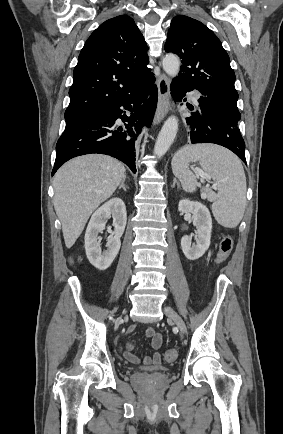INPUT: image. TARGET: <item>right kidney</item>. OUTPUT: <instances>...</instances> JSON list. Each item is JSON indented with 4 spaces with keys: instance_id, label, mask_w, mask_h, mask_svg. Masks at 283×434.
Returning a JSON list of instances; mask_svg holds the SVG:
<instances>
[{
    "instance_id": "1",
    "label": "right kidney",
    "mask_w": 283,
    "mask_h": 434,
    "mask_svg": "<svg viewBox=\"0 0 283 434\" xmlns=\"http://www.w3.org/2000/svg\"><path fill=\"white\" fill-rule=\"evenodd\" d=\"M113 217L114 236L106 243L107 250L102 252L98 242V234ZM127 222L126 207L120 198H113L98 208L92 215L85 233V251L90 263L99 270H106L117 256Z\"/></svg>"
}]
</instances>
